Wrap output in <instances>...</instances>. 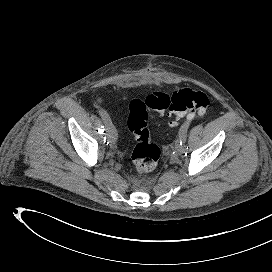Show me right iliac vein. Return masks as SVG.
Segmentation results:
<instances>
[{
	"label": "right iliac vein",
	"mask_w": 272,
	"mask_h": 272,
	"mask_svg": "<svg viewBox=\"0 0 272 272\" xmlns=\"http://www.w3.org/2000/svg\"><path fill=\"white\" fill-rule=\"evenodd\" d=\"M106 127V135L110 142H115L117 140V131L115 127L113 126L111 119H108L106 122H104Z\"/></svg>",
	"instance_id": "1"
}]
</instances>
